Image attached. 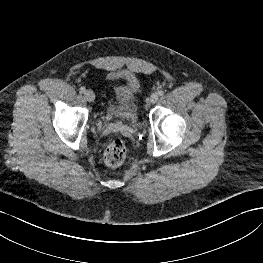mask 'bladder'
<instances>
[{"label":"bladder","mask_w":263,"mask_h":263,"mask_svg":"<svg viewBox=\"0 0 263 263\" xmlns=\"http://www.w3.org/2000/svg\"><path fill=\"white\" fill-rule=\"evenodd\" d=\"M113 77L120 79V81L113 87L104 117L110 121H119L135 126L139 120L140 82L132 74L117 73Z\"/></svg>","instance_id":"obj_1"}]
</instances>
